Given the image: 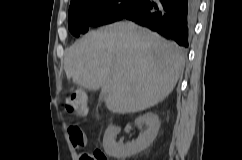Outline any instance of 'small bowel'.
<instances>
[{
  "instance_id": "small-bowel-1",
  "label": "small bowel",
  "mask_w": 242,
  "mask_h": 160,
  "mask_svg": "<svg viewBox=\"0 0 242 160\" xmlns=\"http://www.w3.org/2000/svg\"><path fill=\"white\" fill-rule=\"evenodd\" d=\"M80 116H85L86 114H87V112H80V113H78ZM84 154L85 153H82V154H80V156H79V160H83V156H84Z\"/></svg>"
}]
</instances>
